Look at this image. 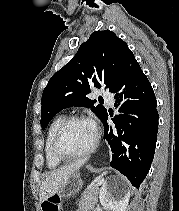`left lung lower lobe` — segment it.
<instances>
[{"instance_id":"left-lung-lower-lobe-1","label":"left lung lower lobe","mask_w":179,"mask_h":211,"mask_svg":"<svg viewBox=\"0 0 179 211\" xmlns=\"http://www.w3.org/2000/svg\"><path fill=\"white\" fill-rule=\"evenodd\" d=\"M110 92L115 93L116 105L123 113L113 119L115 128L107 123L108 113L102 120L104 139L113 153L110 165L139 188L155 153L158 111L152 86L133 53Z\"/></svg>"}]
</instances>
